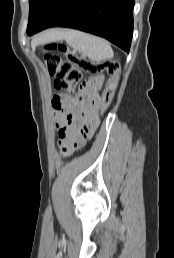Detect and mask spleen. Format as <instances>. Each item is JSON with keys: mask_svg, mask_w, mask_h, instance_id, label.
Listing matches in <instances>:
<instances>
[{"mask_svg": "<svg viewBox=\"0 0 174 258\" xmlns=\"http://www.w3.org/2000/svg\"><path fill=\"white\" fill-rule=\"evenodd\" d=\"M53 33L56 34L51 37L52 39H65L71 47L86 54L93 61L110 59L114 55L110 44L100 37L71 29L53 31Z\"/></svg>", "mask_w": 174, "mask_h": 258, "instance_id": "obj_1", "label": "spleen"}]
</instances>
